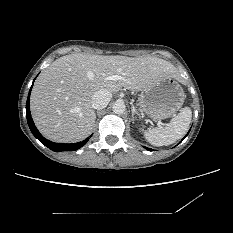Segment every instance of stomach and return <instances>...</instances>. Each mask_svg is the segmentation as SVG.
<instances>
[{
	"mask_svg": "<svg viewBox=\"0 0 233 233\" xmlns=\"http://www.w3.org/2000/svg\"><path fill=\"white\" fill-rule=\"evenodd\" d=\"M184 91L174 79H165L142 91L138 105L150 118L161 120L174 115L184 103Z\"/></svg>",
	"mask_w": 233,
	"mask_h": 233,
	"instance_id": "obj_1",
	"label": "stomach"
}]
</instances>
